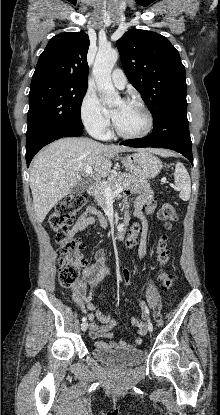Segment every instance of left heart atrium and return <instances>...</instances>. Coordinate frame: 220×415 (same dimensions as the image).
<instances>
[{
  "mask_svg": "<svg viewBox=\"0 0 220 415\" xmlns=\"http://www.w3.org/2000/svg\"><path fill=\"white\" fill-rule=\"evenodd\" d=\"M112 116H113V118L116 120V118L118 117V112H112Z\"/></svg>",
  "mask_w": 220,
  "mask_h": 415,
  "instance_id": "obj_1",
  "label": "left heart atrium"
}]
</instances>
